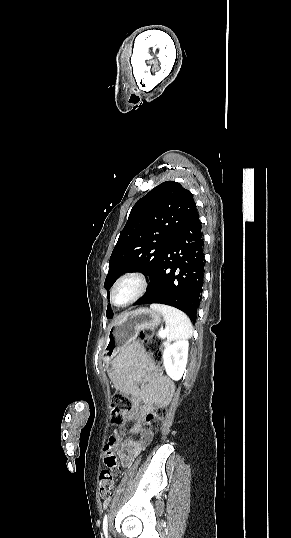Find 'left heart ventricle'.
I'll use <instances>...</instances> for the list:
<instances>
[{
	"label": "left heart ventricle",
	"instance_id": "b2bd125f",
	"mask_svg": "<svg viewBox=\"0 0 291 538\" xmlns=\"http://www.w3.org/2000/svg\"><path fill=\"white\" fill-rule=\"evenodd\" d=\"M135 290L134 283H125L118 288L115 294V302L122 303L124 302Z\"/></svg>",
	"mask_w": 291,
	"mask_h": 538
}]
</instances>
